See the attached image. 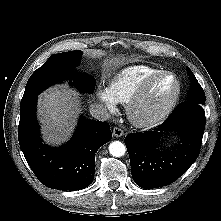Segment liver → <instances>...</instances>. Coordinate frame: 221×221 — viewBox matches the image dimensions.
<instances>
[{
	"label": "liver",
	"instance_id": "liver-1",
	"mask_svg": "<svg viewBox=\"0 0 221 221\" xmlns=\"http://www.w3.org/2000/svg\"><path fill=\"white\" fill-rule=\"evenodd\" d=\"M77 95L65 86H55L39 95L38 116L48 143L66 141L74 129L78 103Z\"/></svg>",
	"mask_w": 221,
	"mask_h": 221
}]
</instances>
